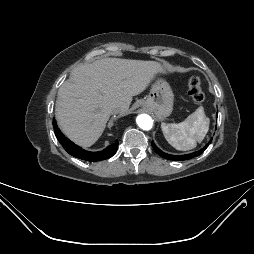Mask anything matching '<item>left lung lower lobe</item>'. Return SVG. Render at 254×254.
Listing matches in <instances>:
<instances>
[{"label":"left lung lower lobe","instance_id":"0a47b994","mask_svg":"<svg viewBox=\"0 0 254 254\" xmlns=\"http://www.w3.org/2000/svg\"><path fill=\"white\" fill-rule=\"evenodd\" d=\"M211 141H212V139L209 141V143L207 145H205V147L203 149H201V150H199L197 152L191 153V154H186V155H171V154L164 153L159 148H157V146L153 142H152V147H153V149L155 150V152L157 154H159L161 157H163L165 159L175 160V161H181V160H188V159H191L193 157L199 156L209 146Z\"/></svg>","mask_w":254,"mask_h":254}]
</instances>
